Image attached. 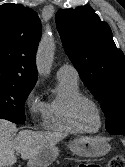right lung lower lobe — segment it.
Returning <instances> with one entry per match:
<instances>
[{
  "label": "right lung lower lobe",
  "instance_id": "right-lung-lower-lobe-1",
  "mask_svg": "<svg viewBox=\"0 0 125 167\" xmlns=\"http://www.w3.org/2000/svg\"><path fill=\"white\" fill-rule=\"evenodd\" d=\"M0 118L9 120V121H11L13 123H17V124L24 123V121H25V120H17V119L10 117V116L4 115V114H0Z\"/></svg>",
  "mask_w": 125,
  "mask_h": 167
}]
</instances>
